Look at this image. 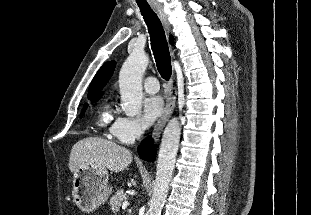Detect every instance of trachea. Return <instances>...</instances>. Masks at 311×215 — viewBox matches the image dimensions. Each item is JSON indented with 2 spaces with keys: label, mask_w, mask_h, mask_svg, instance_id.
I'll return each mask as SVG.
<instances>
[{
  "label": "trachea",
  "mask_w": 311,
  "mask_h": 215,
  "mask_svg": "<svg viewBox=\"0 0 311 215\" xmlns=\"http://www.w3.org/2000/svg\"><path fill=\"white\" fill-rule=\"evenodd\" d=\"M150 34L151 48L161 77L169 80L172 73L171 57L162 24L149 6H139Z\"/></svg>",
  "instance_id": "obj_1"
}]
</instances>
